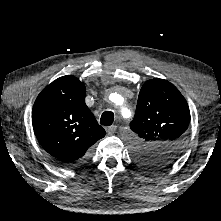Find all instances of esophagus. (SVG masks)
Masks as SVG:
<instances>
[{"mask_svg":"<svg viewBox=\"0 0 221 221\" xmlns=\"http://www.w3.org/2000/svg\"><path fill=\"white\" fill-rule=\"evenodd\" d=\"M116 130H117V126H116V125H112V126H110V127L107 128V133H108L109 135H113Z\"/></svg>","mask_w":221,"mask_h":221,"instance_id":"obj_1","label":"esophagus"}]
</instances>
